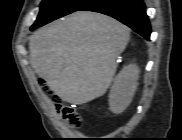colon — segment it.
<instances>
[{"instance_id":"1","label":"colon","mask_w":182,"mask_h":140,"mask_svg":"<svg viewBox=\"0 0 182 140\" xmlns=\"http://www.w3.org/2000/svg\"><path fill=\"white\" fill-rule=\"evenodd\" d=\"M44 91L46 93H50V90L45 87ZM58 112L59 114L68 121V123L72 126V127H79L80 123H81V119L80 116L77 112V110L72 107V106H67V105H63V104H58Z\"/></svg>"}]
</instances>
